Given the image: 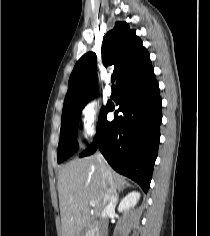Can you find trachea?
I'll return each instance as SVG.
<instances>
[{"instance_id": "1", "label": "trachea", "mask_w": 210, "mask_h": 236, "mask_svg": "<svg viewBox=\"0 0 210 236\" xmlns=\"http://www.w3.org/2000/svg\"><path fill=\"white\" fill-rule=\"evenodd\" d=\"M115 79H116V76L115 75H112L111 76V81H112V83H114L115 82ZM115 86L113 85V88H114Z\"/></svg>"}]
</instances>
